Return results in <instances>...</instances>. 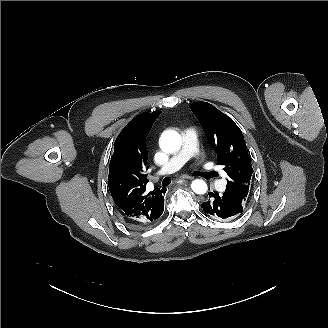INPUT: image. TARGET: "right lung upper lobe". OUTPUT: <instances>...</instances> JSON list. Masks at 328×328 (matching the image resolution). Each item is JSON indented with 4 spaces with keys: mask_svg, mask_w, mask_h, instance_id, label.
<instances>
[{
    "mask_svg": "<svg viewBox=\"0 0 328 328\" xmlns=\"http://www.w3.org/2000/svg\"><path fill=\"white\" fill-rule=\"evenodd\" d=\"M161 111L132 119L114 143L108 186L120 214L133 226H146L161 215L166 189L146 192L147 151L145 139Z\"/></svg>",
    "mask_w": 328,
    "mask_h": 328,
    "instance_id": "1",
    "label": "right lung upper lobe"
}]
</instances>
